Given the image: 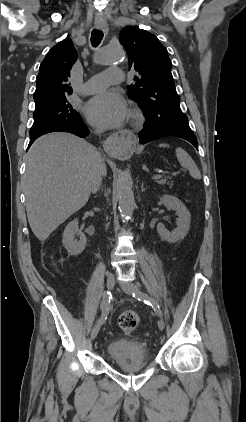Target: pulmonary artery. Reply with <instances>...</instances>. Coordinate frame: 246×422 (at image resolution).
I'll use <instances>...</instances> for the list:
<instances>
[{
    "mask_svg": "<svg viewBox=\"0 0 246 422\" xmlns=\"http://www.w3.org/2000/svg\"><path fill=\"white\" fill-rule=\"evenodd\" d=\"M124 79V73L119 68H109L104 72L94 75L83 86L84 94H93L105 89L110 84L120 83Z\"/></svg>",
    "mask_w": 246,
    "mask_h": 422,
    "instance_id": "e3ab8cb5",
    "label": "pulmonary artery"
}]
</instances>
